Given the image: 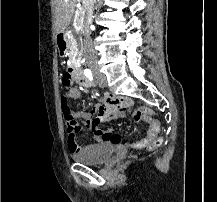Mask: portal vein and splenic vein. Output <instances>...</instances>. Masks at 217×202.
Returning a JSON list of instances; mask_svg holds the SVG:
<instances>
[{
	"label": "portal vein and splenic vein",
	"instance_id": "1",
	"mask_svg": "<svg viewBox=\"0 0 217 202\" xmlns=\"http://www.w3.org/2000/svg\"><path fill=\"white\" fill-rule=\"evenodd\" d=\"M77 2H81V0H77Z\"/></svg>",
	"mask_w": 217,
	"mask_h": 202
}]
</instances>
